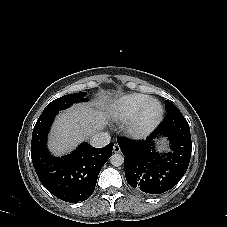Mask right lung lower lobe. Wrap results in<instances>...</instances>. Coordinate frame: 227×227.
Instances as JSON below:
<instances>
[{"label": "right lung lower lobe", "instance_id": "right-lung-lower-lobe-1", "mask_svg": "<svg viewBox=\"0 0 227 227\" xmlns=\"http://www.w3.org/2000/svg\"><path fill=\"white\" fill-rule=\"evenodd\" d=\"M58 112H43L35 124L31 142L33 166L40 182L54 196L70 203L85 201L92 195L98 174L112 155L114 143L103 148L83 143L67 156L53 157L46 141Z\"/></svg>", "mask_w": 227, "mask_h": 227}]
</instances>
